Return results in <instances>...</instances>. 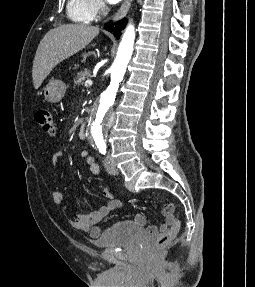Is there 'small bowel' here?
Instances as JSON below:
<instances>
[{
  "label": "small bowel",
  "instance_id": "small-bowel-1",
  "mask_svg": "<svg viewBox=\"0 0 255 287\" xmlns=\"http://www.w3.org/2000/svg\"><path fill=\"white\" fill-rule=\"evenodd\" d=\"M80 157L86 161L89 166V169L92 174H99V166L96 164L94 158L86 151L80 150ZM62 152H57L54 155V160L58 157L62 156ZM104 196L107 199V203L98 207L91 214L84 215L79 214L73 217L70 221L72 227L78 230H83L89 233L91 237H98L100 235V229L97 224L102 221L105 217H107L111 212L117 211L120 208V203L116 199L113 198L112 192L109 188L104 190ZM62 193L55 191L53 193V200L55 203H60L62 201ZM174 206L169 204L164 210V221L160 225H149L147 227V231L150 234L163 233L168 229L169 226L173 224L175 221V216L173 214ZM134 222L142 227L147 225V218L143 214H136L134 218Z\"/></svg>",
  "mask_w": 255,
  "mask_h": 287
}]
</instances>
